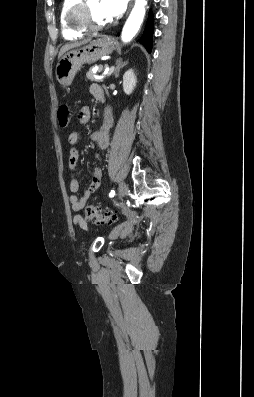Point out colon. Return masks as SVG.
Returning <instances> with one entry per match:
<instances>
[{"mask_svg":"<svg viewBox=\"0 0 254 397\" xmlns=\"http://www.w3.org/2000/svg\"><path fill=\"white\" fill-rule=\"evenodd\" d=\"M71 117V108L68 104H62L58 109V122L62 128L68 126ZM86 218L99 224H109L118 220V215L113 212L101 211L94 205H89L85 211Z\"/></svg>","mask_w":254,"mask_h":397,"instance_id":"1","label":"colon"}]
</instances>
